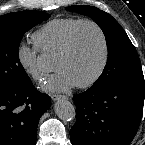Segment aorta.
<instances>
[{
  "mask_svg": "<svg viewBox=\"0 0 145 145\" xmlns=\"http://www.w3.org/2000/svg\"><path fill=\"white\" fill-rule=\"evenodd\" d=\"M54 109L57 116L63 121L75 119L76 111L74 105L64 98L56 102Z\"/></svg>",
  "mask_w": 145,
  "mask_h": 145,
  "instance_id": "aorta-1",
  "label": "aorta"
}]
</instances>
